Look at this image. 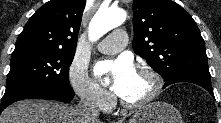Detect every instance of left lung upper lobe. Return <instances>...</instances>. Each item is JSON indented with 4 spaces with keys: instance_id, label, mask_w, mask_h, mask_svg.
Returning <instances> with one entry per match:
<instances>
[{
    "instance_id": "1",
    "label": "left lung upper lobe",
    "mask_w": 221,
    "mask_h": 123,
    "mask_svg": "<svg viewBox=\"0 0 221 123\" xmlns=\"http://www.w3.org/2000/svg\"><path fill=\"white\" fill-rule=\"evenodd\" d=\"M133 50L166 81L211 77L204 40L192 17L171 0L133 1Z\"/></svg>"
}]
</instances>
